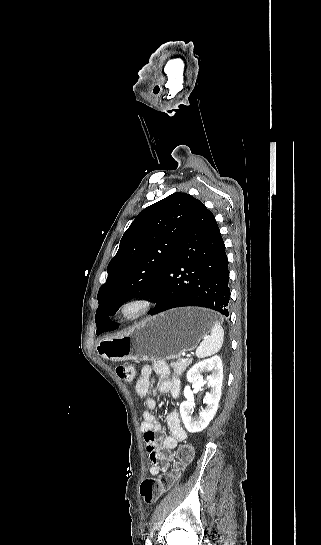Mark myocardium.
I'll use <instances>...</instances> for the list:
<instances>
[{"mask_svg":"<svg viewBox=\"0 0 321 545\" xmlns=\"http://www.w3.org/2000/svg\"><path fill=\"white\" fill-rule=\"evenodd\" d=\"M153 306L154 301L150 297L144 295H134L122 301L118 311L123 320L134 322L150 313Z\"/></svg>","mask_w":321,"mask_h":545,"instance_id":"myocardium-1","label":"myocardium"}]
</instances>
